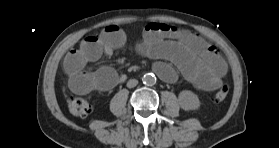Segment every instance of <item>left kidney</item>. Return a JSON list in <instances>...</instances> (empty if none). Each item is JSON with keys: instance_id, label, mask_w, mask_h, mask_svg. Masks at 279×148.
I'll return each mask as SVG.
<instances>
[{"instance_id": "1", "label": "left kidney", "mask_w": 279, "mask_h": 148, "mask_svg": "<svg viewBox=\"0 0 279 148\" xmlns=\"http://www.w3.org/2000/svg\"><path fill=\"white\" fill-rule=\"evenodd\" d=\"M179 105L185 111L196 110L200 107L198 96L189 90H183L178 95Z\"/></svg>"}]
</instances>
